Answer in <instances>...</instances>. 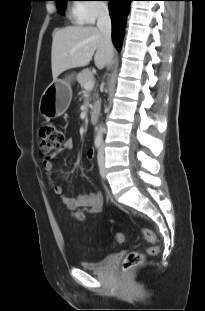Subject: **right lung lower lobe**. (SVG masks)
<instances>
[{
  "label": "right lung lower lobe",
  "instance_id": "1",
  "mask_svg": "<svg viewBox=\"0 0 205 311\" xmlns=\"http://www.w3.org/2000/svg\"><path fill=\"white\" fill-rule=\"evenodd\" d=\"M110 17L112 21V40L117 50H120L126 16L128 12V4L132 0H110Z\"/></svg>",
  "mask_w": 205,
  "mask_h": 311
}]
</instances>
